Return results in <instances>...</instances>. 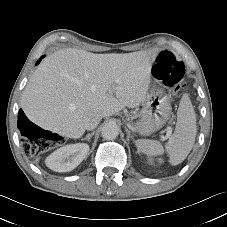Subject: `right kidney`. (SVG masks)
Returning <instances> with one entry per match:
<instances>
[{"mask_svg": "<svg viewBox=\"0 0 227 227\" xmlns=\"http://www.w3.org/2000/svg\"><path fill=\"white\" fill-rule=\"evenodd\" d=\"M89 145L76 143L55 150L46 158V165L56 172H69L75 169L86 157Z\"/></svg>", "mask_w": 227, "mask_h": 227, "instance_id": "ca27d5eb", "label": "right kidney"}]
</instances>
